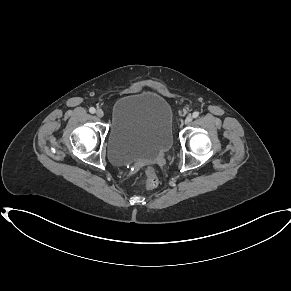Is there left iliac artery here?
<instances>
[{
	"instance_id": "44dca946",
	"label": "left iliac artery",
	"mask_w": 291,
	"mask_h": 291,
	"mask_svg": "<svg viewBox=\"0 0 291 291\" xmlns=\"http://www.w3.org/2000/svg\"><path fill=\"white\" fill-rule=\"evenodd\" d=\"M192 116L193 118H197L199 116V112L195 111Z\"/></svg>"
}]
</instances>
